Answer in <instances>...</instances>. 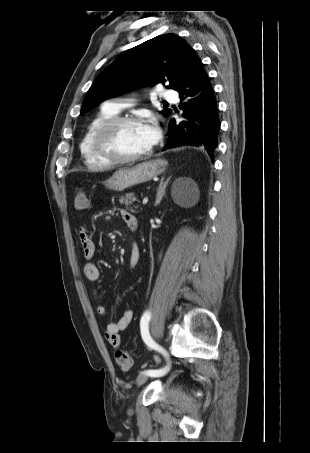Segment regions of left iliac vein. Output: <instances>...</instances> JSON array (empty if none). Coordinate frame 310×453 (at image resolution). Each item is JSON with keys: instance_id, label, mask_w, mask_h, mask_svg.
<instances>
[{"instance_id": "obj_1", "label": "left iliac vein", "mask_w": 310, "mask_h": 453, "mask_svg": "<svg viewBox=\"0 0 310 453\" xmlns=\"http://www.w3.org/2000/svg\"><path fill=\"white\" fill-rule=\"evenodd\" d=\"M148 380V375L143 372V373H140L137 378H136V384L137 386H141L143 385L146 381Z\"/></svg>"}]
</instances>
